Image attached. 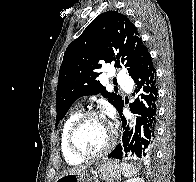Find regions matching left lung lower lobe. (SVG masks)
<instances>
[{"mask_svg": "<svg viewBox=\"0 0 196 182\" xmlns=\"http://www.w3.org/2000/svg\"><path fill=\"white\" fill-rule=\"evenodd\" d=\"M132 78L137 85L135 92L139 94L136 101L130 106L133 113L139 114L133 136V130L129 131V127L126 126L127 121L122 114L124 102L118 109L123 128L126 129L123 134L125 156L127 157V154H130L136 158L149 159L153 155L156 138L158 100L156 69L151 56ZM122 156L123 152L120 144L108 155L109 158L117 159H121Z\"/></svg>", "mask_w": 196, "mask_h": 182, "instance_id": "left-lung-lower-lobe-1", "label": "left lung lower lobe"}]
</instances>
